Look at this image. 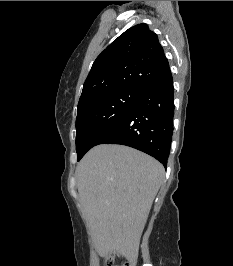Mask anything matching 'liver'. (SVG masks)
I'll use <instances>...</instances> for the list:
<instances>
[{"mask_svg":"<svg viewBox=\"0 0 233 266\" xmlns=\"http://www.w3.org/2000/svg\"><path fill=\"white\" fill-rule=\"evenodd\" d=\"M165 170L124 145H98L79 162L76 179L96 251L132 259Z\"/></svg>","mask_w":233,"mask_h":266,"instance_id":"obj_1","label":"liver"}]
</instances>
